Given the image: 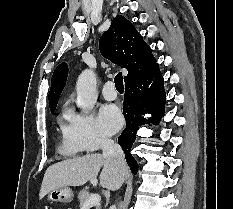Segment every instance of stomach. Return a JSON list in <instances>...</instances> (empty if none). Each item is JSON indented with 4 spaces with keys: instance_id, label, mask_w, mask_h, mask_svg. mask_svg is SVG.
I'll list each match as a JSON object with an SVG mask.
<instances>
[{
    "instance_id": "obj_1",
    "label": "stomach",
    "mask_w": 233,
    "mask_h": 209,
    "mask_svg": "<svg viewBox=\"0 0 233 209\" xmlns=\"http://www.w3.org/2000/svg\"><path fill=\"white\" fill-rule=\"evenodd\" d=\"M47 200L51 203L62 202L70 203L73 200V191L68 187L51 190L47 194Z\"/></svg>"
}]
</instances>
